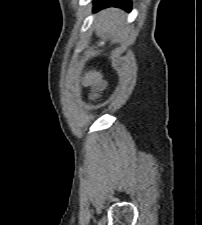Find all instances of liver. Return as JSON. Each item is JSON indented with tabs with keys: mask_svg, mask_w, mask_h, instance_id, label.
Here are the masks:
<instances>
[{
	"mask_svg": "<svg viewBox=\"0 0 202 225\" xmlns=\"http://www.w3.org/2000/svg\"><path fill=\"white\" fill-rule=\"evenodd\" d=\"M99 21L98 33H103L112 37L120 36L124 32V28L121 27L124 21L123 12L116 8H109L101 11L97 17ZM84 82H99L102 80V74L96 70L88 71L84 75Z\"/></svg>",
	"mask_w": 202,
	"mask_h": 225,
	"instance_id": "1",
	"label": "liver"
}]
</instances>
